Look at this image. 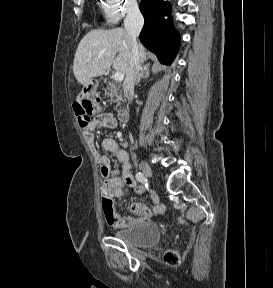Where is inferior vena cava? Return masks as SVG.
Returning <instances> with one entry per match:
<instances>
[{
    "label": "inferior vena cava",
    "mask_w": 273,
    "mask_h": 288,
    "mask_svg": "<svg viewBox=\"0 0 273 288\" xmlns=\"http://www.w3.org/2000/svg\"><path fill=\"white\" fill-rule=\"evenodd\" d=\"M144 24V18L137 5H132L127 10L124 20V27L131 38L132 48L129 68L123 83V90L126 98L130 102L134 94V85L138 79L140 70V58L137 44V37Z\"/></svg>",
    "instance_id": "1"
}]
</instances>
